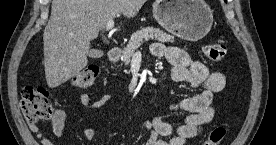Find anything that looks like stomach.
Segmentation results:
<instances>
[{
    "instance_id": "obj_1",
    "label": "stomach",
    "mask_w": 276,
    "mask_h": 145,
    "mask_svg": "<svg viewBox=\"0 0 276 145\" xmlns=\"http://www.w3.org/2000/svg\"><path fill=\"white\" fill-rule=\"evenodd\" d=\"M153 17L169 33L198 41L210 31L213 13L204 0H156Z\"/></svg>"
}]
</instances>
